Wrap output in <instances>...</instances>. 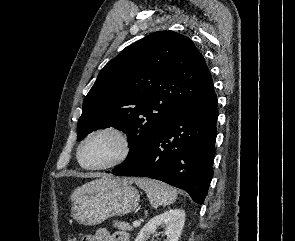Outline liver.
<instances>
[{
  "label": "liver",
  "mask_w": 295,
  "mask_h": 241,
  "mask_svg": "<svg viewBox=\"0 0 295 241\" xmlns=\"http://www.w3.org/2000/svg\"><path fill=\"white\" fill-rule=\"evenodd\" d=\"M112 179H113L112 176L104 175L103 178H101V179H97V180H94L92 182L82 185L81 187L74 190V192L71 195V200H74L79 194H81L85 190L89 189L91 186H93L95 184H101L103 182H108V181H111ZM134 180L135 179H125L126 182L131 183V184L134 182Z\"/></svg>",
  "instance_id": "1"
}]
</instances>
